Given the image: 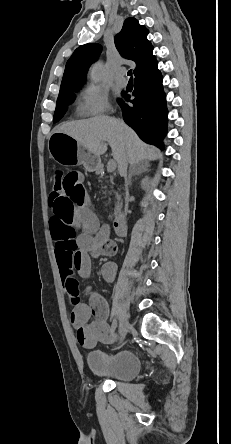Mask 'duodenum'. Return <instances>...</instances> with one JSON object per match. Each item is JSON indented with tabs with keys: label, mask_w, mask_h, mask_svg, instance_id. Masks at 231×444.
<instances>
[{
	"label": "duodenum",
	"mask_w": 231,
	"mask_h": 444,
	"mask_svg": "<svg viewBox=\"0 0 231 444\" xmlns=\"http://www.w3.org/2000/svg\"><path fill=\"white\" fill-rule=\"evenodd\" d=\"M112 228L117 236H125L127 234L125 218L123 216L115 218L112 222Z\"/></svg>",
	"instance_id": "obj_1"
}]
</instances>
